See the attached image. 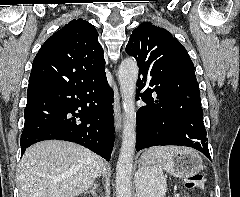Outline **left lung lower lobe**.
I'll use <instances>...</instances> for the list:
<instances>
[{"mask_svg":"<svg viewBox=\"0 0 240 197\" xmlns=\"http://www.w3.org/2000/svg\"><path fill=\"white\" fill-rule=\"evenodd\" d=\"M142 74V73H139ZM143 75L138 79L139 96L147 104L139 108L137 119L136 150L151 146L181 145L193 147L211 159L207 132L203 123L200 92L196 87L175 91H159L151 87V80ZM149 87L139 94V91ZM157 93V99L152 93Z\"/></svg>","mask_w":240,"mask_h":197,"instance_id":"left-lung-lower-lobe-1","label":"left lung lower lobe"}]
</instances>
